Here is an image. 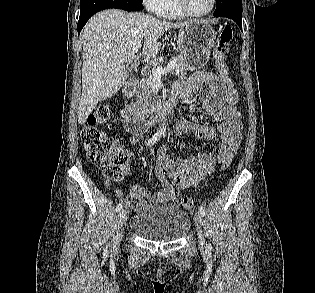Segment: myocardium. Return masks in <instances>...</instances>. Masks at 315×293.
I'll list each match as a JSON object with an SVG mask.
<instances>
[{
  "instance_id": "1",
  "label": "myocardium",
  "mask_w": 315,
  "mask_h": 293,
  "mask_svg": "<svg viewBox=\"0 0 315 293\" xmlns=\"http://www.w3.org/2000/svg\"><path fill=\"white\" fill-rule=\"evenodd\" d=\"M177 4L180 8V10L186 15L190 17H196V18H201L209 15L215 8L216 5V0H211V5L209 9L203 13H195L193 12L189 6L187 0H177Z\"/></svg>"
}]
</instances>
